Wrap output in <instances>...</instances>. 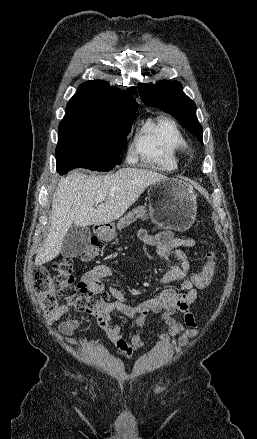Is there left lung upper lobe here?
<instances>
[{"label":"left lung upper lobe","mask_w":257,"mask_h":439,"mask_svg":"<svg viewBox=\"0 0 257 439\" xmlns=\"http://www.w3.org/2000/svg\"><path fill=\"white\" fill-rule=\"evenodd\" d=\"M138 91L147 106L160 108L173 115L184 128L203 142V130L196 117V105L182 92V85L178 81L162 80L156 84L139 83Z\"/></svg>","instance_id":"obj_1"}]
</instances>
